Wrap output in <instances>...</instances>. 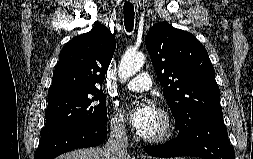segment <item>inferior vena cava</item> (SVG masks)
<instances>
[{"mask_svg":"<svg viewBox=\"0 0 253 159\" xmlns=\"http://www.w3.org/2000/svg\"><path fill=\"white\" fill-rule=\"evenodd\" d=\"M128 137L124 124H118L111 128L110 138L106 145L108 159H118L127 154Z\"/></svg>","mask_w":253,"mask_h":159,"instance_id":"obj_1","label":"inferior vena cava"}]
</instances>
